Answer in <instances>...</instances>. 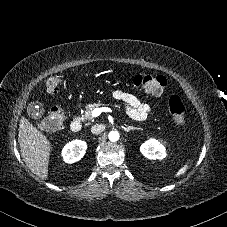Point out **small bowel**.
Wrapping results in <instances>:
<instances>
[{
    "mask_svg": "<svg viewBox=\"0 0 227 227\" xmlns=\"http://www.w3.org/2000/svg\"><path fill=\"white\" fill-rule=\"evenodd\" d=\"M113 97L116 100L121 101L125 106L127 114L137 121L144 120L151 110V106L149 104L142 102L136 96L124 91H114Z\"/></svg>",
    "mask_w": 227,
    "mask_h": 227,
    "instance_id": "obj_1",
    "label": "small bowel"
}]
</instances>
